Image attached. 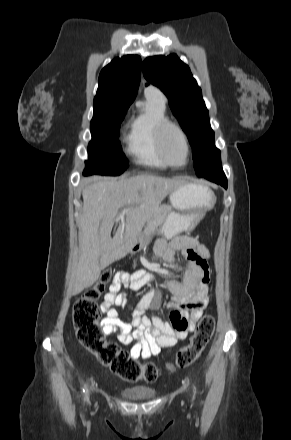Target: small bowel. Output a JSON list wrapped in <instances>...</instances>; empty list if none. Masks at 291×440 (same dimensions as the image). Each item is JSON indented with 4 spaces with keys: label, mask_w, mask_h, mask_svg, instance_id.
I'll return each mask as SVG.
<instances>
[{
    "label": "small bowel",
    "mask_w": 291,
    "mask_h": 440,
    "mask_svg": "<svg viewBox=\"0 0 291 440\" xmlns=\"http://www.w3.org/2000/svg\"><path fill=\"white\" fill-rule=\"evenodd\" d=\"M177 252L185 258V263L179 266L184 270V279L182 282L167 280L165 286L172 293L173 300L183 305L171 307L169 322L160 316L148 317L144 314L149 297H144L138 304L130 321L120 318L115 306L125 307L127 304L126 294L119 292L121 284L130 289H139L150 279L142 271L133 275L117 274L101 304V311L106 314L101 321L103 333L114 335L124 345H131L130 356L133 359H149L158 355L162 347H172L186 339L195 330L208 304L206 283L210 271L209 250L191 236H175L168 241H157L154 260L163 258L174 263Z\"/></svg>",
    "instance_id": "obj_1"
}]
</instances>
